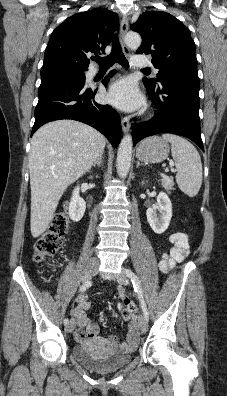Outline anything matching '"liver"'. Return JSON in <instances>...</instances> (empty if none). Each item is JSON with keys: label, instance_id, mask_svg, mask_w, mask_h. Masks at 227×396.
Instances as JSON below:
<instances>
[{"label": "liver", "instance_id": "1", "mask_svg": "<svg viewBox=\"0 0 227 396\" xmlns=\"http://www.w3.org/2000/svg\"><path fill=\"white\" fill-rule=\"evenodd\" d=\"M105 145L100 132L74 120L49 122L35 132L29 155L34 238L46 231L66 188L91 168Z\"/></svg>", "mask_w": 227, "mask_h": 396}]
</instances>
